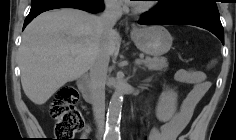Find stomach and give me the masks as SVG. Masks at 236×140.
Instances as JSON below:
<instances>
[{
    "mask_svg": "<svg viewBox=\"0 0 236 140\" xmlns=\"http://www.w3.org/2000/svg\"><path fill=\"white\" fill-rule=\"evenodd\" d=\"M137 48L155 57L167 53L172 46V36L162 26L139 27L131 32Z\"/></svg>",
    "mask_w": 236,
    "mask_h": 140,
    "instance_id": "stomach-1",
    "label": "stomach"
}]
</instances>
